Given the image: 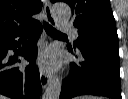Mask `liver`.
<instances>
[{"instance_id":"6515ba94","label":"liver","mask_w":128,"mask_h":99,"mask_svg":"<svg viewBox=\"0 0 128 99\" xmlns=\"http://www.w3.org/2000/svg\"><path fill=\"white\" fill-rule=\"evenodd\" d=\"M0 99H7L5 96L0 95Z\"/></svg>"}]
</instances>
